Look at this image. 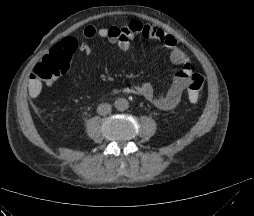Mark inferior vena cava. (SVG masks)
I'll use <instances>...</instances> for the list:
<instances>
[{
  "instance_id": "1",
  "label": "inferior vena cava",
  "mask_w": 254,
  "mask_h": 216,
  "mask_svg": "<svg viewBox=\"0 0 254 216\" xmlns=\"http://www.w3.org/2000/svg\"><path fill=\"white\" fill-rule=\"evenodd\" d=\"M111 105L107 104V103H101L99 104V106L97 107V113L99 115H107L111 112Z\"/></svg>"
}]
</instances>
